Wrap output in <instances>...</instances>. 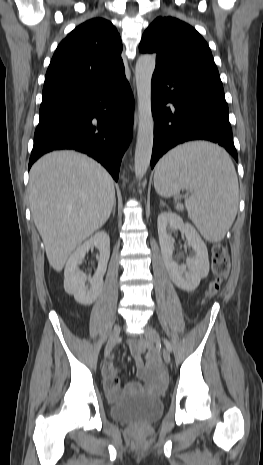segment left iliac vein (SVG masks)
Here are the masks:
<instances>
[{
	"mask_svg": "<svg viewBox=\"0 0 263 465\" xmlns=\"http://www.w3.org/2000/svg\"><path fill=\"white\" fill-rule=\"evenodd\" d=\"M145 336L151 342H157V343L160 342L159 333L152 326H149V325L146 326V328H145ZM162 354H163V359H164L165 363H167V364L170 363L171 355H170L169 351L166 348H163Z\"/></svg>",
	"mask_w": 263,
	"mask_h": 465,
	"instance_id": "4c4485c4",
	"label": "left iliac vein"
}]
</instances>
